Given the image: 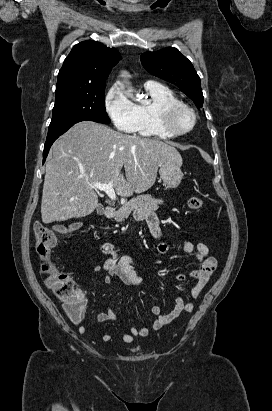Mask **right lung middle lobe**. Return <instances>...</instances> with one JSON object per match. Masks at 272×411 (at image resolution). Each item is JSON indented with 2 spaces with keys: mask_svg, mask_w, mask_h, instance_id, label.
I'll return each instance as SVG.
<instances>
[{
  "mask_svg": "<svg viewBox=\"0 0 272 411\" xmlns=\"http://www.w3.org/2000/svg\"><path fill=\"white\" fill-rule=\"evenodd\" d=\"M105 86L106 83L56 92L53 116L47 137L61 134L80 121L109 124L110 119L106 113L104 101Z\"/></svg>",
  "mask_w": 272,
  "mask_h": 411,
  "instance_id": "obj_1",
  "label": "right lung middle lobe"
}]
</instances>
